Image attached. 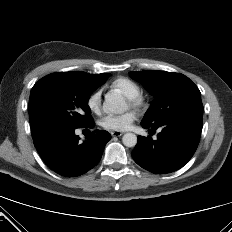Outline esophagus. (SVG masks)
<instances>
[{
  "label": "esophagus",
  "instance_id": "1",
  "mask_svg": "<svg viewBox=\"0 0 232 232\" xmlns=\"http://www.w3.org/2000/svg\"><path fill=\"white\" fill-rule=\"evenodd\" d=\"M110 134L113 137H120L123 133L119 131H111Z\"/></svg>",
  "mask_w": 232,
  "mask_h": 232
}]
</instances>
